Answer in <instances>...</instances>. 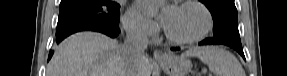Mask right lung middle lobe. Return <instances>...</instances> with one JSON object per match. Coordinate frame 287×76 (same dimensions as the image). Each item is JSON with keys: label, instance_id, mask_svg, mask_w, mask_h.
I'll use <instances>...</instances> for the list:
<instances>
[{"label": "right lung middle lobe", "instance_id": "right-lung-middle-lobe-1", "mask_svg": "<svg viewBox=\"0 0 287 76\" xmlns=\"http://www.w3.org/2000/svg\"><path fill=\"white\" fill-rule=\"evenodd\" d=\"M119 9L110 0H61L56 36L85 26H117Z\"/></svg>", "mask_w": 287, "mask_h": 76}]
</instances>
